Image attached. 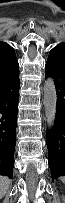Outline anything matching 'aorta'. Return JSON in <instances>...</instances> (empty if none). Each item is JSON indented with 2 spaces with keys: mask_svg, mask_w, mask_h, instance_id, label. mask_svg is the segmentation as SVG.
<instances>
[{
  "mask_svg": "<svg viewBox=\"0 0 65 203\" xmlns=\"http://www.w3.org/2000/svg\"><path fill=\"white\" fill-rule=\"evenodd\" d=\"M43 104L45 108V118L48 129H52L55 124L57 110V92L55 81L52 77H48L43 87Z\"/></svg>",
  "mask_w": 65,
  "mask_h": 203,
  "instance_id": "762f6f07",
  "label": "aorta"
}]
</instances>
